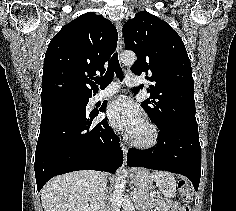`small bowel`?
<instances>
[{
    "mask_svg": "<svg viewBox=\"0 0 236 211\" xmlns=\"http://www.w3.org/2000/svg\"><path fill=\"white\" fill-rule=\"evenodd\" d=\"M176 206L169 205L166 201L160 200L157 202L156 207L145 211H177Z\"/></svg>",
    "mask_w": 236,
    "mask_h": 211,
    "instance_id": "obj_1",
    "label": "small bowel"
}]
</instances>
